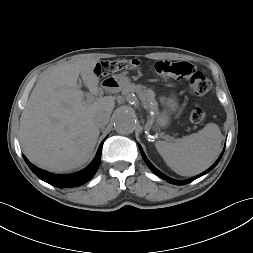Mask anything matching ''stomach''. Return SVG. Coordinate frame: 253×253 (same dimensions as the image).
I'll use <instances>...</instances> for the list:
<instances>
[{
  "instance_id": "0dacf381",
  "label": "stomach",
  "mask_w": 253,
  "mask_h": 253,
  "mask_svg": "<svg viewBox=\"0 0 253 253\" xmlns=\"http://www.w3.org/2000/svg\"><path fill=\"white\" fill-rule=\"evenodd\" d=\"M112 79V80H110ZM103 83V88L108 91H119L122 90L126 85L129 84L130 79L124 74L113 75L111 78H107ZM169 110H165L156 115V125L158 127H165L170 121V113L177 106V100L175 96L169 100Z\"/></svg>"
}]
</instances>
